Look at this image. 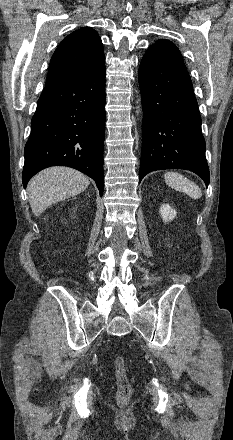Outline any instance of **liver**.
Wrapping results in <instances>:
<instances>
[{"mask_svg":"<svg viewBox=\"0 0 233 440\" xmlns=\"http://www.w3.org/2000/svg\"><path fill=\"white\" fill-rule=\"evenodd\" d=\"M89 183L87 176L68 167H50L40 171L27 187L34 215L38 217L50 205L78 195Z\"/></svg>","mask_w":233,"mask_h":440,"instance_id":"1","label":"liver"}]
</instances>
